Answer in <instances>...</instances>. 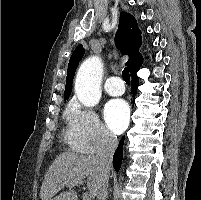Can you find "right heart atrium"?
<instances>
[{"mask_svg": "<svg viewBox=\"0 0 201 200\" xmlns=\"http://www.w3.org/2000/svg\"><path fill=\"white\" fill-rule=\"evenodd\" d=\"M66 118V140L73 150L92 154L116 146V137L100 121L94 109L73 102L67 109Z\"/></svg>", "mask_w": 201, "mask_h": 200, "instance_id": "d8ad5b80", "label": "right heart atrium"}]
</instances>
